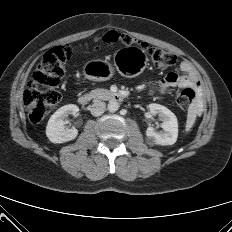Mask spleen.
Instances as JSON below:
<instances>
[{"instance_id": "3e777b00", "label": "spleen", "mask_w": 232, "mask_h": 232, "mask_svg": "<svg viewBox=\"0 0 232 232\" xmlns=\"http://www.w3.org/2000/svg\"><path fill=\"white\" fill-rule=\"evenodd\" d=\"M196 117H197V107L195 103L190 104L189 108H188V114H187V120H186V127H185V131L189 132L195 121H196Z\"/></svg>"}]
</instances>
